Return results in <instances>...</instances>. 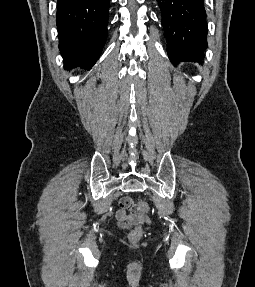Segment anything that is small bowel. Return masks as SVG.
Wrapping results in <instances>:
<instances>
[{
    "label": "small bowel",
    "instance_id": "obj_1",
    "mask_svg": "<svg viewBox=\"0 0 255 287\" xmlns=\"http://www.w3.org/2000/svg\"><path fill=\"white\" fill-rule=\"evenodd\" d=\"M115 220L122 229H130L138 224H151L149 217L140 215L138 207L130 197H123L119 200V209L115 213Z\"/></svg>",
    "mask_w": 255,
    "mask_h": 287
}]
</instances>
